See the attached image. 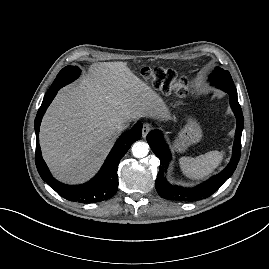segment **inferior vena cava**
Returning a JSON list of instances; mask_svg holds the SVG:
<instances>
[{
  "label": "inferior vena cava",
  "mask_w": 269,
  "mask_h": 269,
  "mask_svg": "<svg viewBox=\"0 0 269 269\" xmlns=\"http://www.w3.org/2000/svg\"><path fill=\"white\" fill-rule=\"evenodd\" d=\"M129 126V122H121L117 125V131L121 132Z\"/></svg>",
  "instance_id": "obj_1"
}]
</instances>
